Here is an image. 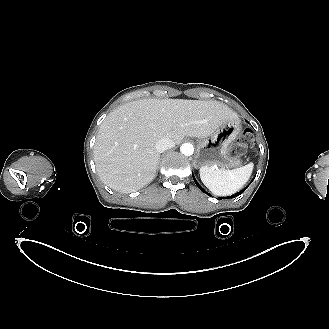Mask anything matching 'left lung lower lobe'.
<instances>
[{
  "label": "left lung lower lobe",
  "instance_id": "0a47b994",
  "mask_svg": "<svg viewBox=\"0 0 329 329\" xmlns=\"http://www.w3.org/2000/svg\"><path fill=\"white\" fill-rule=\"evenodd\" d=\"M193 179H194L196 185L198 186V188H199L201 191H203L204 193H206L205 190H204V189H203V188L197 183V181L195 180L194 176H193ZM245 190H246V188L243 189V190H241L239 193H236L234 196L226 197V198H224V199L234 198V197L238 196L239 194L243 193ZM208 195H209V194H208Z\"/></svg>",
  "mask_w": 329,
  "mask_h": 329
}]
</instances>
